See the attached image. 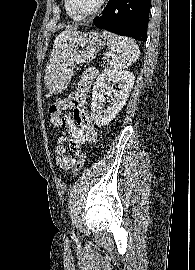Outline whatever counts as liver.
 <instances>
[{"instance_id": "liver-1", "label": "liver", "mask_w": 195, "mask_h": 270, "mask_svg": "<svg viewBox=\"0 0 195 270\" xmlns=\"http://www.w3.org/2000/svg\"><path fill=\"white\" fill-rule=\"evenodd\" d=\"M72 32H73V29H68V30L63 31L62 33H60V34L57 36V38H56L55 41H54L53 50H52V52H51V59H52V57H53L54 54H55V51H56V48H57V43H58L59 39H60L61 37L65 36V35H67V34L72 33Z\"/></svg>"}]
</instances>
